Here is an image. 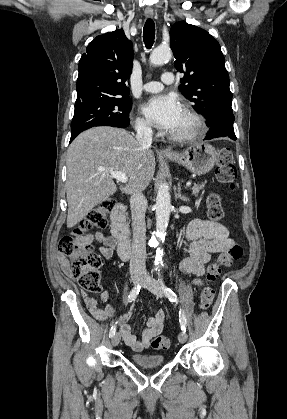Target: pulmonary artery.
Wrapping results in <instances>:
<instances>
[{"instance_id":"pulmonary-artery-1","label":"pulmonary artery","mask_w":287,"mask_h":419,"mask_svg":"<svg viewBox=\"0 0 287 419\" xmlns=\"http://www.w3.org/2000/svg\"><path fill=\"white\" fill-rule=\"evenodd\" d=\"M174 80H175L174 75L171 72H165L162 75L161 82H158V81L148 82L143 85V90L146 92H151V93L158 92L163 89L164 85L172 84Z\"/></svg>"}]
</instances>
